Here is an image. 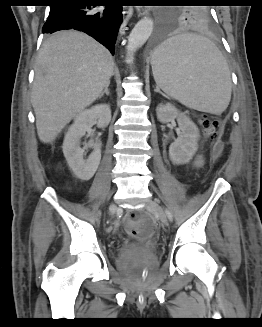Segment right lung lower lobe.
Instances as JSON below:
<instances>
[{"instance_id":"1","label":"right lung lower lobe","mask_w":262,"mask_h":327,"mask_svg":"<svg viewBox=\"0 0 262 327\" xmlns=\"http://www.w3.org/2000/svg\"><path fill=\"white\" fill-rule=\"evenodd\" d=\"M50 12L43 26V33L75 29L87 33L112 54L121 24L120 5H107L104 11H96V6H79L74 0H52Z\"/></svg>"}]
</instances>
